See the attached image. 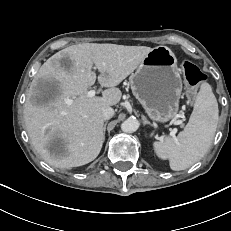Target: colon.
<instances>
[{
	"mask_svg": "<svg viewBox=\"0 0 231 231\" xmlns=\"http://www.w3.org/2000/svg\"><path fill=\"white\" fill-rule=\"evenodd\" d=\"M181 69L187 84L191 88L188 94H192L193 89L197 88L204 81L205 76L196 65L189 61H183Z\"/></svg>",
	"mask_w": 231,
	"mask_h": 231,
	"instance_id": "5ec220e1",
	"label": "colon"
}]
</instances>
